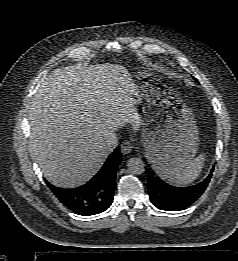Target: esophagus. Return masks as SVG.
I'll list each match as a JSON object with an SVG mask.
<instances>
[{
  "mask_svg": "<svg viewBox=\"0 0 238 261\" xmlns=\"http://www.w3.org/2000/svg\"><path fill=\"white\" fill-rule=\"evenodd\" d=\"M132 148V144L128 141L123 142L120 146V150L123 155L129 154L132 151Z\"/></svg>",
  "mask_w": 238,
  "mask_h": 261,
  "instance_id": "obj_1",
  "label": "esophagus"
}]
</instances>
